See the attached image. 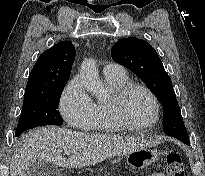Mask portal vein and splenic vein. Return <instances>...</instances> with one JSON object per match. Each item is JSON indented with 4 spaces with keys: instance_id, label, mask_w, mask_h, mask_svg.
<instances>
[{
    "instance_id": "portal-vein-and-splenic-vein-1",
    "label": "portal vein and splenic vein",
    "mask_w": 205,
    "mask_h": 176,
    "mask_svg": "<svg viewBox=\"0 0 205 176\" xmlns=\"http://www.w3.org/2000/svg\"><path fill=\"white\" fill-rule=\"evenodd\" d=\"M64 154H66V155H70V152H67V151H66V152H64Z\"/></svg>"
}]
</instances>
